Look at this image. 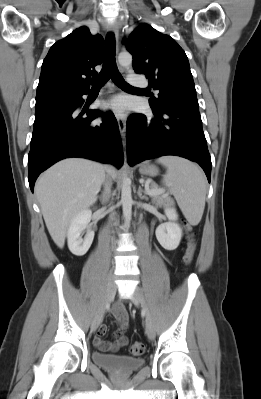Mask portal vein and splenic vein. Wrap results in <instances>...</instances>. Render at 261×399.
<instances>
[{
    "mask_svg": "<svg viewBox=\"0 0 261 399\" xmlns=\"http://www.w3.org/2000/svg\"><path fill=\"white\" fill-rule=\"evenodd\" d=\"M150 183V181H147L146 182V186H145V192L147 193V194H149V195H155V194H157V193H163L164 191L162 190V189H160L159 191H155V190H151V189H149V186H148V184Z\"/></svg>",
    "mask_w": 261,
    "mask_h": 399,
    "instance_id": "obj_1",
    "label": "portal vein and splenic vein"
}]
</instances>
